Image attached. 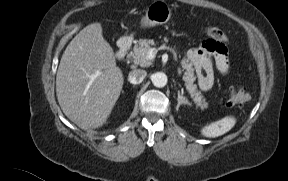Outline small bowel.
I'll return each instance as SVG.
<instances>
[{"label":"small bowel","mask_w":288,"mask_h":181,"mask_svg":"<svg viewBox=\"0 0 288 181\" xmlns=\"http://www.w3.org/2000/svg\"><path fill=\"white\" fill-rule=\"evenodd\" d=\"M198 71V82L202 90H210L214 85V73L226 75L229 70L228 57L224 51H217L207 44L191 49L188 53Z\"/></svg>","instance_id":"small-bowel-1"}]
</instances>
